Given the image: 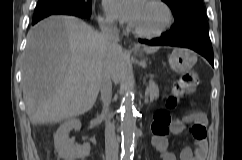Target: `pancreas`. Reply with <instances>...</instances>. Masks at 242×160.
Instances as JSON below:
<instances>
[{
    "instance_id": "pancreas-1",
    "label": "pancreas",
    "mask_w": 242,
    "mask_h": 160,
    "mask_svg": "<svg viewBox=\"0 0 242 160\" xmlns=\"http://www.w3.org/2000/svg\"><path fill=\"white\" fill-rule=\"evenodd\" d=\"M146 92L147 95L150 97V101L157 99L159 96V88L153 81L149 82Z\"/></svg>"
}]
</instances>
